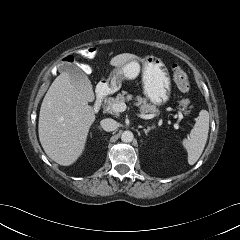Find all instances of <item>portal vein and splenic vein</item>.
Segmentation results:
<instances>
[{
    "label": "portal vein and splenic vein",
    "mask_w": 240,
    "mask_h": 240,
    "mask_svg": "<svg viewBox=\"0 0 240 240\" xmlns=\"http://www.w3.org/2000/svg\"><path fill=\"white\" fill-rule=\"evenodd\" d=\"M127 109V106L124 102L118 103V104H114L113 105V110H115L116 112H123ZM137 116L141 119H152L154 117V115L151 114H140L138 113ZM178 116L180 119H183L184 116L182 114L181 111H178ZM176 128H178V126H176Z\"/></svg>",
    "instance_id": "1"
}]
</instances>
